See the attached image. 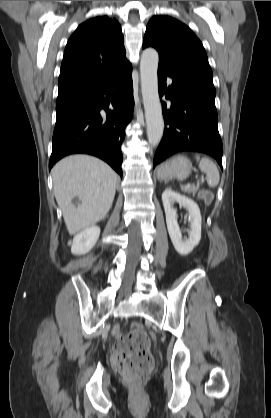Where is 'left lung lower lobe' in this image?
<instances>
[{"instance_id":"left-lung-lower-lobe-1","label":"left lung lower lobe","mask_w":271,"mask_h":418,"mask_svg":"<svg viewBox=\"0 0 271 418\" xmlns=\"http://www.w3.org/2000/svg\"><path fill=\"white\" fill-rule=\"evenodd\" d=\"M172 79L167 86L166 80ZM160 99L163 102L165 129L156 151L153 167L180 151H196L214 157L222 168V141L218 132L215 88L203 81L158 67Z\"/></svg>"}]
</instances>
